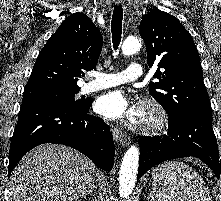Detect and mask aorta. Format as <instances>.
<instances>
[{"label": "aorta", "mask_w": 221, "mask_h": 201, "mask_svg": "<svg viewBox=\"0 0 221 201\" xmlns=\"http://www.w3.org/2000/svg\"><path fill=\"white\" fill-rule=\"evenodd\" d=\"M141 43L137 37H128L122 45L124 55H133L139 51ZM139 164V149L136 146L128 148L124 154L119 172V195L128 198L131 194L137 178Z\"/></svg>", "instance_id": "obj_1"}]
</instances>
